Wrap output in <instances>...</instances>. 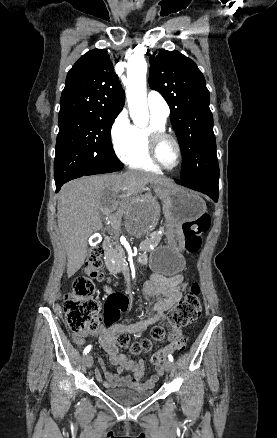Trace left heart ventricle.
Wrapping results in <instances>:
<instances>
[{
    "label": "left heart ventricle",
    "mask_w": 277,
    "mask_h": 438,
    "mask_svg": "<svg viewBox=\"0 0 277 438\" xmlns=\"http://www.w3.org/2000/svg\"><path fill=\"white\" fill-rule=\"evenodd\" d=\"M160 159L168 167H172L177 159L176 147L173 142L165 140L160 147Z\"/></svg>",
    "instance_id": "left-heart-ventricle-1"
}]
</instances>
